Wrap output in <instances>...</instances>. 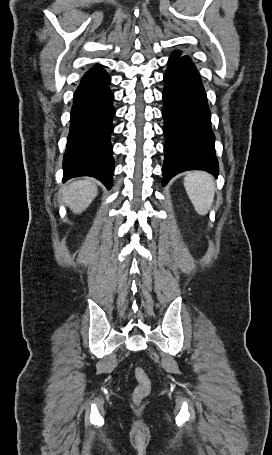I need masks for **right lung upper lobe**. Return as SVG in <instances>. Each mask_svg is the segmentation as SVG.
I'll return each instance as SVG.
<instances>
[{
  "label": "right lung upper lobe",
  "instance_id": "right-lung-upper-lobe-1",
  "mask_svg": "<svg viewBox=\"0 0 272 455\" xmlns=\"http://www.w3.org/2000/svg\"><path fill=\"white\" fill-rule=\"evenodd\" d=\"M103 71L104 69L101 67V65L97 64L96 67L91 68L84 76L98 74Z\"/></svg>",
  "mask_w": 272,
  "mask_h": 455
}]
</instances>
